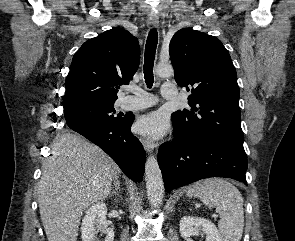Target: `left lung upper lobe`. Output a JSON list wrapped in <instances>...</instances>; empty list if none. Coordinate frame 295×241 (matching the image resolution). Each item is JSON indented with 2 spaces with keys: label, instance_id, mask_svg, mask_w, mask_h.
I'll list each match as a JSON object with an SVG mask.
<instances>
[{
  "label": "left lung upper lobe",
  "instance_id": "obj_1",
  "mask_svg": "<svg viewBox=\"0 0 295 241\" xmlns=\"http://www.w3.org/2000/svg\"><path fill=\"white\" fill-rule=\"evenodd\" d=\"M169 54L177 84L191 91L192 109L172 114L180 135L186 140L210 137L243 145L236 70L221 41L183 28L173 35Z\"/></svg>",
  "mask_w": 295,
  "mask_h": 241
}]
</instances>
